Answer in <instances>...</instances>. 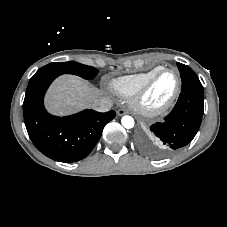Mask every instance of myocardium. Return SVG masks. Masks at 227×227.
I'll use <instances>...</instances> for the list:
<instances>
[{
	"label": "myocardium",
	"mask_w": 227,
	"mask_h": 227,
	"mask_svg": "<svg viewBox=\"0 0 227 227\" xmlns=\"http://www.w3.org/2000/svg\"><path fill=\"white\" fill-rule=\"evenodd\" d=\"M171 71L176 75V87L171 95V97L162 105L158 107H150L146 106L144 104V98L148 91L151 89L153 86L154 82L157 80V78L163 74L164 72ZM181 87H182V80L180 73L177 69L172 68V67H161L158 71H156L154 74H152L144 83L143 85L135 92V94L132 97L131 104L132 107L138 111L140 114L144 116H158L166 111H168L175 101L177 100L180 92H181Z\"/></svg>",
	"instance_id": "1"
}]
</instances>
